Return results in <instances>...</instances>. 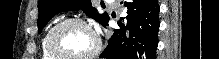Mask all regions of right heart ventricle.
Here are the masks:
<instances>
[{"instance_id": "right-heart-ventricle-1", "label": "right heart ventricle", "mask_w": 219, "mask_h": 59, "mask_svg": "<svg viewBox=\"0 0 219 59\" xmlns=\"http://www.w3.org/2000/svg\"><path fill=\"white\" fill-rule=\"evenodd\" d=\"M54 26V25H53ZM49 27L45 33L43 34L42 38H41V41H40V57L41 59H56L55 57H53L49 52H48V49H47V36H48V33L50 31V29L53 27Z\"/></svg>"}]
</instances>
